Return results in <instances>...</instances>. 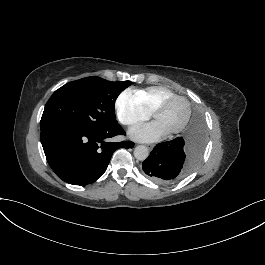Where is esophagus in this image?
<instances>
[{"mask_svg": "<svg viewBox=\"0 0 265 265\" xmlns=\"http://www.w3.org/2000/svg\"><path fill=\"white\" fill-rule=\"evenodd\" d=\"M147 148L151 151L154 148V145L153 144H149V145H147Z\"/></svg>", "mask_w": 265, "mask_h": 265, "instance_id": "obj_1", "label": "esophagus"}]
</instances>
